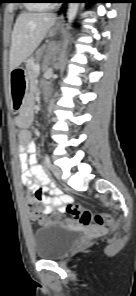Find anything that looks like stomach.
I'll list each match as a JSON object with an SVG mask.
<instances>
[{"label":"stomach","mask_w":136,"mask_h":296,"mask_svg":"<svg viewBox=\"0 0 136 296\" xmlns=\"http://www.w3.org/2000/svg\"><path fill=\"white\" fill-rule=\"evenodd\" d=\"M26 74L27 69H12V84H27ZM11 90L13 111H22L24 101H30V96L25 94V90H29V85H11Z\"/></svg>","instance_id":"stomach-1"}]
</instances>
